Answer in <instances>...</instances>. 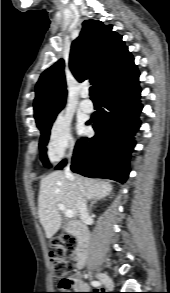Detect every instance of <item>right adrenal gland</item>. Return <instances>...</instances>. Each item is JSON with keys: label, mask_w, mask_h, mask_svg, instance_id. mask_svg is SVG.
Here are the masks:
<instances>
[{"label": "right adrenal gland", "mask_w": 170, "mask_h": 293, "mask_svg": "<svg viewBox=\"0 0 170 293\" xmlns=\"http://www.w3.org/2000/svg\"><path fill=\"white\" fill-rule=\"evenodd\" d=\"M97 203V199L93 200L90 204V210L93 208L94 204Z\"/></svg>", "instance_id": "right-adrenal-gland-1"}]
</instances>
